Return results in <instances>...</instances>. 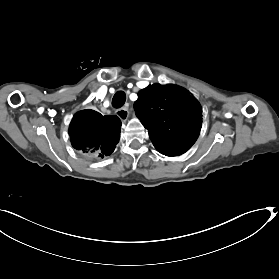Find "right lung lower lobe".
I'll list each match as a JSON object with an SVG mask.
<instances>
[{
	"label": "right lung lower lobe",
	"instance_id": "98d812e1",
	"mask_svg": "<svg viewBox=\"0 0 279 279\" xmlns=\"http://www.w3.org/2000/svg\"><path fill=\"white\" fill-rule=\"evenodd\" d=\"M121 121L117 116H102L93 110L76 113L69 135L74 149L90 159L110 155L119 141Z\"/></svg>",
	"mask_w": 279,
	"mask_h": 279
}]
</instances>
